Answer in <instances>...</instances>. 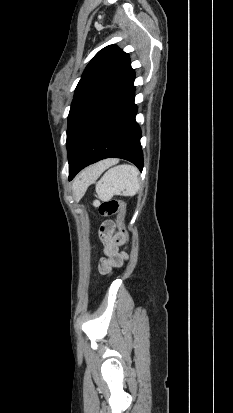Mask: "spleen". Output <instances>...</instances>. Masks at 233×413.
I'll return each instance as SVG.
<instances>
[{"instance_id":"1","label":"spleen","mask_w":233,"mask_h":413,"mask_svg":"<svg viewBox=\"0 0 233 413\" xmlns=\"http://www.w3.org/2000/svg\"><path fill=\"white\" fill-rule=\"evenodd\" d=\"M100 171L94 172L95 179ZM140 187L139 172L133 165L122 164L110 168L96 184V193L102 201L114 195L134 196Z\"/></svg>"}]
</instances>
